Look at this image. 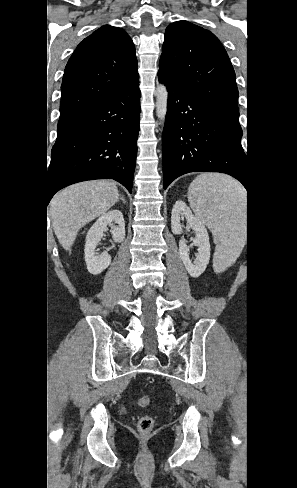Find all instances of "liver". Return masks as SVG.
Returning <instances> with one entry per match:
<instances>
[{
  "label": "liver",
  "mask_w": 297,
  "mask_h": 488,
  "mask_svg": "<svg viewBox=\"0 0 297 488\" xmlns=\"http://www.w3.org/2000/svg\"><path fill=\"white\" fill-rule=\"evenodd\" d=\"M118 200L116 185L105 180L77 183L56 194L50 202L49 215L60 245L70 251L78 231Z\"/></svg>",
  "instance_id": "6515ba94"
}]
</instances>
